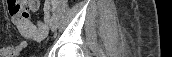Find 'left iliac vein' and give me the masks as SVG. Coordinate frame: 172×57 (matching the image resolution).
<instances>
[{"label": "left iliac vein", "mask_w": 172, "mask_h": 57, "mask_svg": "<svg viewBox=\"0 0 172 57\" xmlns=\"http://www.w3.org/2000/svg\"><path fill=\"white\" fill-rule=\"evenodd\" d=\"M49 11V5L46 6L45 12ZM46 21L49 24V27L52 31H55L57 28V17L53 14L51 16L46 15L45 16Z\"/></svg>", "instance_id": "obj_1"}]
</instances>
